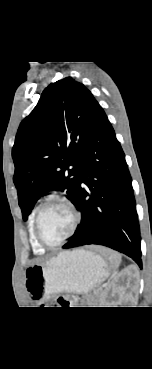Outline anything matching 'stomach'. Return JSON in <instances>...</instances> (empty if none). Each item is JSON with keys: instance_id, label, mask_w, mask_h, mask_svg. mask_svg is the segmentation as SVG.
Here are the masks:
<instances>
[{"instance_id": "obj_1", "label": "stomach", "mask_w": 152, "mask_h": 369, "mask_svg": "<svg viewBox=\"0 0 152 369\" xmlns=\"http://www.w3.org/2000/svg\"><path fill=\"white\" fill-rule=\"evenodd\" d=\"M110 274L106 261L82 249L64 251L46 263H36L25 271V287L35 301H45L59 292L85 294Z\"/></svg>"}]
</instances>
